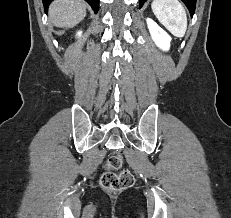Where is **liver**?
<instances>
[{"instance_id":"6515ba94","label":"liver","mask_w":231,"mask_h":218,"mask_svg":"<svg viewBox=\"0 0 231 218\" xmlns=\"http://www.w3.org/2000/svg\"><path fill=\"white\" fill-rule=\"evenodd\" d=\"M51 21L56 27L72 28L86 16V4L81 0H56L49 10Z\"/></svg>"}]
</instances>
